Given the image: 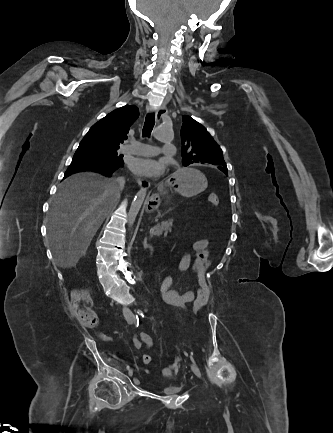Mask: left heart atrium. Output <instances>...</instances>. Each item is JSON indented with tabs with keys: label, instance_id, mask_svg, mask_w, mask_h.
Returning a JSON list of instances; mask_svg holds the SVG:
<instances>
[{
	"label": "left heart atrium",
	"instance_id": "left-heart-atrium-1",
	"mask_svg": "<svg viewBox=\"0 0 333 433\" xmlns=\"http://www.w3.org/2000/svg\"><path fill=\"white\" fill-rule=\"evenodd\" d=\"M129 165L132 171L138 175L158 176L163 171V165L159 161L148 157L134 158Z\"/></svg>",
	"mask_w": 333,
	"mask_h": 433
}]
</instances>
